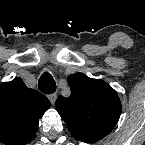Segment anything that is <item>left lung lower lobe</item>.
Segmentation results:
<instances>
[{"instance_id":"obj_1","label":"left lung lower lobe","mask_w":145,"mask_h":145,"mask_svg":"<svg viewBox=\"0 0 145 145\" xmlns=\"http://www.w3.org/2000/svg\"><path fill=\"white\" fill-rule=\"evenodd\" d=\"M72 135L80 141L94 143L110 133L108 130H72Z\"/></svg>"}]
</instances>
